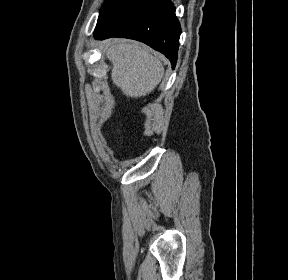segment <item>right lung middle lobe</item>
<instances>
[{
  "instance_id": "1",
  "label": "right lung middle lobe",
  "mask_w": 288,
  "mask_h": 280,
  "mask_svg": "<svg viewBox=\"0 0 288 280\" xmlns=\"http://www.w3.org/2000/svg\"><path fill=\"white\" fill-rule=\"evenodd\" d=\"M124 0H106L105 3L103 4L99 16H101L104 12H106L108 9L113 7L114 5L121 3Z\"/></svg>"
}]
</instances>
